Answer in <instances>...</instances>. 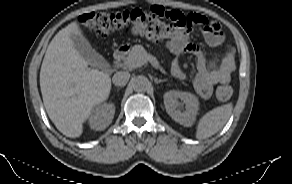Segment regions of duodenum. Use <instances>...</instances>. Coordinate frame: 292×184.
<instances>
[{
	"label": "duodenum",
	"mask_w": 292,
	"mask_h": 184,
	"mask_svg": "<svg viewBox=\"0 0 292 184\" xmlns=\"http://www.w3.org/2000/svg\"><path fill=\"white\" fill-rule=\"evenodd\" d=\"M127 52H128L127 47H121L113 53V58L116 61L121 62L126 57Z\"/></svg>",
	"instance_id": "duodenum-1"
}]
</instances>
